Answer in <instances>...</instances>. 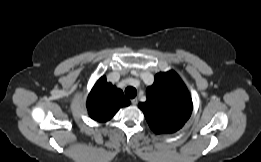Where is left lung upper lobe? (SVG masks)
<instances>
[{
  "label": "left lung upper lobe",
  "mask_w": 261,
  "mask_h": 162,
  "mask_svg": "<svg viewBox=\"0 0 261 162\" xmlns=\"http://www.w3.org/2000/svg\"><path fill=\"white\" fill-rule=\"evenodd\" d=\"M146 97L138 107L157 134L176 132L192 113L189 91L174 71L156 74L153 85L146 90Z\"/></svg>",
  "instance_id": "5c2ea615"
}]
</instances>
